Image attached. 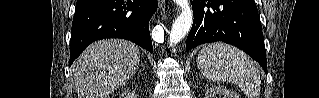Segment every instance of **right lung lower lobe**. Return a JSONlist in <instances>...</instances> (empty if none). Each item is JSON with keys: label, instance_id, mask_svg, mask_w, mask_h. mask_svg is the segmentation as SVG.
I'll return each mask as SVG.
<instances>
[{"label": "right lung lower lobe", "instance_id": "1", "mask_svg": "<svg viewBox=\"0 0 319 98\" xmlns=\"http://www.w3.org/2000/svg\"><path fill=\"white\" fill-rule=\"evenodd\" d=\"M157 6V0H77L69 66L89 44L106 38L127 39L152 53L148 23Z\"/></svg>", "mask_w": 319, "mask_h": 98}]
</instances>
